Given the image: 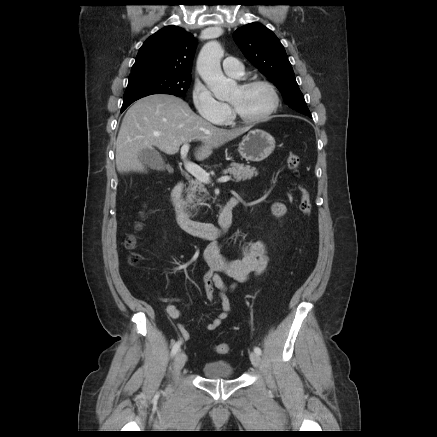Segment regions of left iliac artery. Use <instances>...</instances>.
I'll return each instance as SVG.
<instances>
[{
	"mask_svg": "<svg viewBox=\"0 0 437 437\" xmlns=\"http://www.w3.org/2000/svg\"><path fill=\"white\" fill-rule=\"evenodd\" d=\"M254 352L260 355L262 351L259 347H254Z\"/></svg>",
	"mask_w": 437,
	"mask_h": 437,
	"instance_id": "1",
	"label": "left iliac artery"
}]
</instances>
